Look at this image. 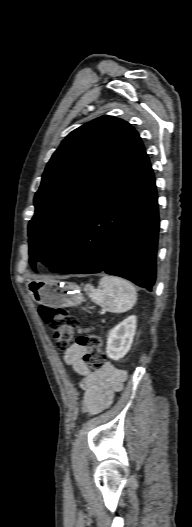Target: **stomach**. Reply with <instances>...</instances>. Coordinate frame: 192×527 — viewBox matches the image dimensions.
I'll return each mask as SVG.
<instances>
[{"label":"stomach","instance_id":"obj_1","mask_svg":"<svg viewBox=\"0 0 192 527\" xmlns=\"http://www.w3.org/2000/svg\"><path fill=\"white\" fill-rule=\"evenodd\" d=\"M27 288L37 303L49 307H72L84 301L81 287L71 282L31 280L28 281Z\"/></svg>","mask_w":192,"mask_h":527}]
</instances>
